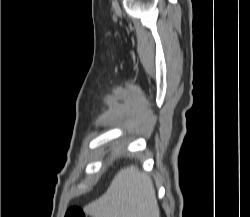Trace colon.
Wrapping results in <instances>:
<instances>
[{
  "mask_svg": "<svg viewBox=\"0 0 250 217\" xmlns=\"http://www.w3.org/2000/svg\"><path fill=\"white\" fill-rule=\"evenodd\" d=\"M65 217H86V214L79 207H71L67 210Z\"/></svg>",
  "mask_w": 250,
  "mask_h": 217,
  "instance_id": "5ec220e1",
  "label": "colon"
}]
</instances>
